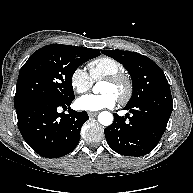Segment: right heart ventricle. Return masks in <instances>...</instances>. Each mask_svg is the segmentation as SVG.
Wrapping results in <instances>:
<instances>
[{
  "label": "right heart ventricle",
  "instance_id": "e07e8e85",
  "mask_svg": "<svg viewBox=\"0 0 193 193\" xmlns=\"http://www.w3.org/2000/svg\"><path fill=\"white\" fill-rule=\"evenodd\" d=\"M88 67L92 80L102 79L125 71V67L120 61L109 56H101L90 61Z\"/></svg>",
  "mask_w": 193,
  "mask_h": 193
}]
</instances>
